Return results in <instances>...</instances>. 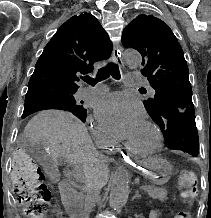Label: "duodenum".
I'll return each instance as SVG.
<instances>
[{
	"label": "duodenum",
	"instance_id": "obj_1",
	"mask_svg": "<svg viewBox=\"0 0 211 218\" xmlns=\"http://www.w3.org/2000/svg\"><path fill=\"white\" fill-rule=\"evenodd\" d=\"M63 204L68 211L70 218H82L80 200L71 184L67 181L59 185Z\"/></svg>",
	"mask_w": 211,
	"mask_h": 218
}]
</instances>
